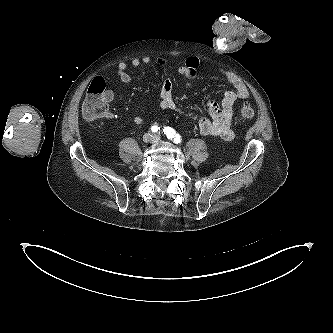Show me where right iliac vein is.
I'll return each instance as SVG.
<instances>
[{
    "label": "right iliac vein",
    "instance_id": "63e3f726",
    "mask_svg": "<svg viewBox=\"0 0 333 333\" xmlns=\"http://www.w3.org/2000/svg\"><path fill=\"white\" fill-rule=\"evenodd\" d=\"M152 139H153L152 135L149 134V133H147L143 136V141L146 142V143L152 141Z\"/></svg>",
    "mask_w": 333,
    "mask_h": 333
}]
</instances>
